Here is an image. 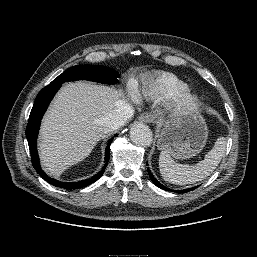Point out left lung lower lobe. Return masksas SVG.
Masks as SVG:
<instances>
[{"label": "left lung lower lobe", "mask_w": 257, "mask_h": 257, "mask_svg": "<svg viewBox=\"0 0 257 257\" xmlns=\"http://www.w3.org/2000/svg\"><path fill=\"white\" fill-rule=\"evenodd\" d=\"M148 174H149V176H150L152 182H153L156 186H158L159 188H161V189H163V190L173 191V190L168 189L167 187L163 186L161 183H159V182L156 180V178L153 176V174L151 173L150 170H148ZM195 188H197V187L188 188V189H186V190H180V191H175V192L185 193V192H189V191H191V190H194Z\"/></svg>", "instance_id": "1"}]
</instances>
